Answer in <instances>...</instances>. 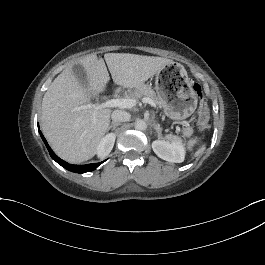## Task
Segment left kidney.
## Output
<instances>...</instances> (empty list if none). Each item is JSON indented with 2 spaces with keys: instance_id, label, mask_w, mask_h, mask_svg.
I'll return each mask as SVG.
<instances>
[{
  "instance_id": "1",
  "label": "left kidney",
  "mask_w": 265,
  "mask_h": 265,
  "mask_svg": "<svg viewBox=\"0 0 265 265\" xmlns=\"http://www.w3.org/2000/svg\"><path fill=\"white\" fill-rule=\"evenodd\" d=\"M152 149L155 154L168 162L181 163L185 158V150L181 142L169 143L164 140H155L152 142Z\"/></svg>"
}]
</instances>
